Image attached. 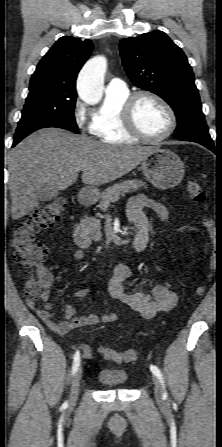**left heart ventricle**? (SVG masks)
Masks as SVG:
<instances>
[{
    "mask_svg": "<svg viewBox=\"0 0 222 447\" xmlns=\"http://www.w3.org/2000/svg\"><path fill=\"white\" fill-rule=\"evenodd\" d=\"M134 117L139 129L150 137L161 136L169 126L165 109L148 97H143L138 101Z\"/></svg>",
    "mask_w": 222,
    "mask_h": 447,
    "instance_id": "b2bd125f",
    "label": "left heart ventricle"
}]
</instances>
